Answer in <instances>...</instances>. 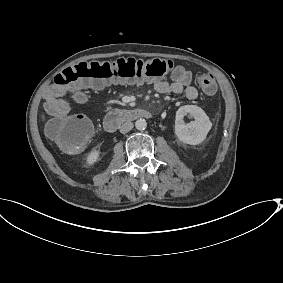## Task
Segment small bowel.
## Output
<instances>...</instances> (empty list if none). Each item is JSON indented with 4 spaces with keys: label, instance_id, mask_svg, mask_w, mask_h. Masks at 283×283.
Returning a JSON list of instances; mask_svg holds the SVG:
<instances>
[{
    "label": "small bowel",
    "instance_id": "c3829d8e",
    "mask_svg": "<svg viewBox=\"0 0 283 283\" xmlns=\"http://www.w3.org/2000/svg\"><path fill=\"white\" fill-rule=\"evenodd\" d=\"M192 73L183 66H176L171 72V81L156 80L153 83L154 89L161 94L183 93L189 100H194L198 96L197 89L191 85ZM69 92L68 87H61L57 84L50 85L45 93L44 108L46 112L58 119L66 116L69 112L67 103L63 100Z\"/></svg>",
    "mask_w": 283,
    "mask_h": 283
}]
</instances>
